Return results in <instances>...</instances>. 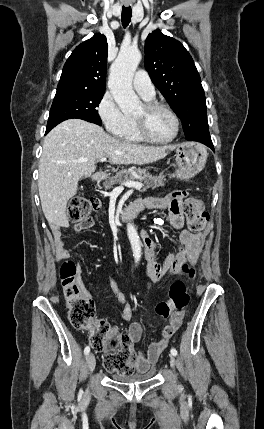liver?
<instances>
[{
    "label": "liver",
    "instance_id": "1",
    "mask_svg": "<svg viewBox=\"0 0 264 429\" xmlns=\"http://www.w3.org/2000/svg\"><path fill=\"white\" fill-rule=\"evenodd\" d=\"M176 146H142L120 141L100 126L69 119L44 139L38 189L48 223L69 227L66 206L76 195L79 180L95 172V162L108 157L111 164H149L164 158Z\"/></svg>",
    "mask_w": 264,
    "mask_h": 429
}]
</instances>
